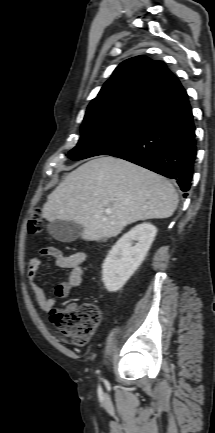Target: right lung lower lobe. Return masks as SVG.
<instances>
[{
    "mask_svg": "<svg viewBox=\"0 0 215 433\" xmlns=\"http://www.w3.org/2000/svg\"><path fill=\"white\" fill-rule=\"evenodd\" d=\"M195 137L192 109L184 90L147 114L134 139L108 155L175 179L186 192L196 158Z\"/></svg>",
    "mask_w": 215,
    "mask_h": 433,
    "instance_id": "1",
    "label": "right lung lower lobe"
}]
</instances>
